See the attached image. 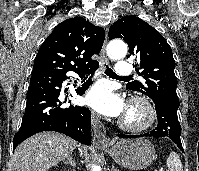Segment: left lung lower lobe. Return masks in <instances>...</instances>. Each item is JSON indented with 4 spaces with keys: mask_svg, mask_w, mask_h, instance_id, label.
I'll return each instance as SVG.
<instances>
[{
    "mask_svg": "<svg viewBox=\"0 0 199 171\" xmlns=\"http://www.w3.org/2000/svg\"><path fill=\"white\" fill-rule=\"evenodd\" d=\"M155 103V102H154ZM179 106L174 104H169L165 102H156L155 109L158 117L157 127L142 135H125L118 134L119 138H137L143 136L150 137H168L174 143L177 144L178 148L184 152L180 136H181V126L178 121L177 110Z\"/></svg>",
    "mask_w": 199,
    "mask_h": 171,
    "instance_id": "1",
    "label": "left lung lower lobe"
}]
</instances>
